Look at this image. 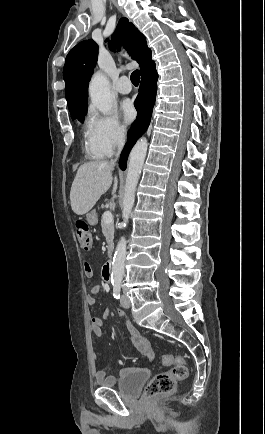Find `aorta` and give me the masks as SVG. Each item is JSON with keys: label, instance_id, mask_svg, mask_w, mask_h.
Returning <instances> with one entry per match:
<instances>
[{"label": "aorta", "instance_id": "1", "mask_svg": "<svg viewBox=\"0 0 265 434\" xmlns=\"http://www.w3.org/2000/svg\"><path fill=\"white\" fill-rule=\"evenodd\" d=\"M91 102L102 114H110L112 108V98L110 94L109 82L101 72H96L91 78L88 88ZM148 144L146 138H141L132 148L129 156L128 172L125 182V192L122 204L123 228L128 224L129 216L135 202V192L144 160L146 158ZM127 242L122 236L120 238L112 262L111 282H122L124 278L126 246Z\"/></svg>", "mask_w": 265, "mask_h": 434}]
</instances>
